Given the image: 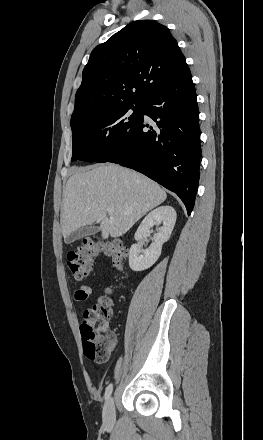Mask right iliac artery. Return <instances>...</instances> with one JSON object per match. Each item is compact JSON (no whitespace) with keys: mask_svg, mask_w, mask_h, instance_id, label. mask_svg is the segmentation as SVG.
Returning <instances> with one entry per match:
<instances>
[{"mask_svg":"<svg viewBox=\"0 0 263 440\" xmlns=\"http://www.w3.org/2000/svg\"><path fill=\"white\" fill-rule=\"evenodd\" d=\"M112 390H113V385L112 384L107 386V388L105 390V400L109 399V397L111 396Z\"/></svg>","mask_w":263,"mask_h":440,"instance_id":"82829eb1","label":"right iliac artery"}]
</instances>
